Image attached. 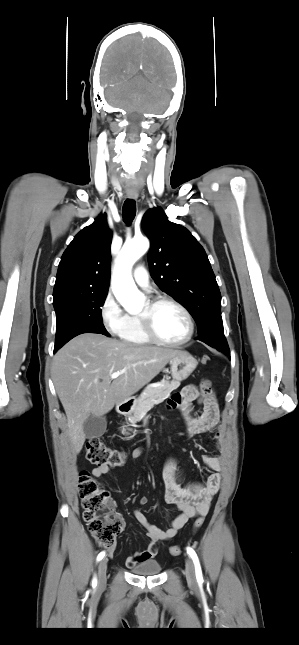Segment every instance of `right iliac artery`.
Listing matches in <instances>:
<instances>
[{
	"label": "right iliac artery",
	"instance_id": "1",
	"mask_svg": "<svg viewBox=\"0 0 299 645\" xmlns=\"http://www.w3.org/2000/svg\"><path fill=\"white\" fill-rule=\"evenodd\" d=\"M104 556H105V552L104 551L100 552L98 554V556H97V561H100ZM92 584H93V586H96V584H97L96 577H94Z\"/></svg>",
	"mask_w": 299,
	"mask_h": 645
}]
</instances>
